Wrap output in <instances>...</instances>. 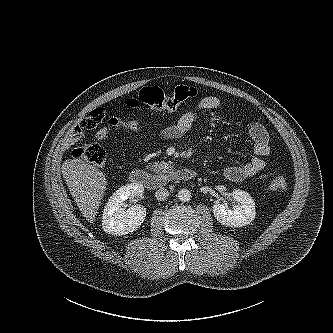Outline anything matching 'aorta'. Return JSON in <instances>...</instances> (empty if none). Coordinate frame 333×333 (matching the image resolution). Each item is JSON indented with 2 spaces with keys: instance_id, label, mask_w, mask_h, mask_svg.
Wrapping results in <instances>:
<instances>
[{
  "instance_id": "762f6f07",
  "label": "aorta",
  "mask_w": 333,
  "mask_h": 333,
  "mask_svg": "<svg viewBox=\"0 0 333 333\" xmlns=\"http://www.w3.org/2000/svg\"><path fill=\"white\" fill-rule=\"evenodd\" d=\"M178 198L182 202H188L191 200V192L188 189L183 188L178 192Z\"/></svg>"
}]
</instances>
